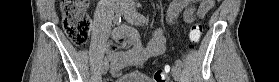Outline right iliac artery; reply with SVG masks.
<instances>
[{
  "label": "right iliac artery",
  "mask_w": 279,
  "mask_h": 82,
  "mask_svg": "<svg viewBox=\"0 0 279 82\" xmlns=\"http://www.w3.org/2000/svg\"><path fill=\"white\" fill-rule=\"evenodd\" d=\"M113 22H114L115 25L119 26L120 23H121V16L118 15V14H116V15L114 16V21H113ZM104 61H105V62H108V56H105Z\"/></svg>",
  "instance_id": "right-iliac-artery-1"
}]
</instances>
